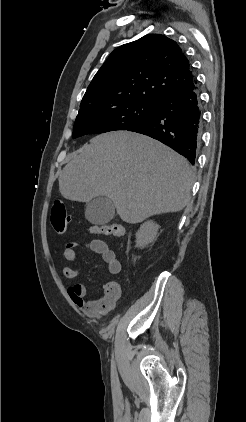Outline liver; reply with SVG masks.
Masks as SVG:
<instances>
[{
  "label": "liver",
  "instance_id": "liver-1",
  "mask_svg": "<svg viewBox=\"0 0 246 422\" xmlns=\"http://www.w3.org/2000/svg\"><path fill=\"white\" fill-rule=\"evenodd\" d=\"M193 181L189 162L171 148L145 135L114 131L79 149L59 176V190L78 202L105 196L124 222L136 224L182 210Z\"/></svg>",
  "mask_w": 246,
  "mask_h": 422
}]
</instances>
